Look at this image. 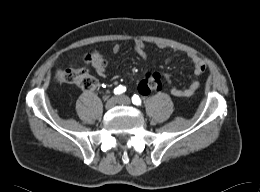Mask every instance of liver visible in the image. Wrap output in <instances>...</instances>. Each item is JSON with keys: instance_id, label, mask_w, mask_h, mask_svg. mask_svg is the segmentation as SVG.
Instances as JSON below:
<instances>
[{"instance_id": "6515ba94", "label": "liver", "mask_w": 260, "mask_h": 192, "mask_svg": "<svg viewBox=\"0 0 260 192\" xmlns=\"http://www.w3.org/2000/svg\"><path fill=\"white\" fill-rule=\"evenodd\" d=\"M64 75H65V74H64L63 71L57 70L56 78H57L58 81L64 82V81H65Z\"/></svg>"}]
</instances>
